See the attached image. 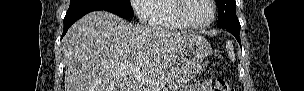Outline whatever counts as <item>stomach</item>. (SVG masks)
Wrapping results in <instances>:
<instances>
[{
  "mask_svg": "<svg viewBox=\"0 0 304 91\" xmlns=\"http://www.w3.org/2000/svg\"><path fill=\"white\" fill-rule=\"evenodd\" d=\"M211 53L210 44L203 38H200L186 44L180 51L178 60L189 67L196 68Z\"/></svg>",
  "mask_w": 304,
  "mask_h": 91,
  "instance_id": "1",
  "label": "stomach"
}]
</instances>
